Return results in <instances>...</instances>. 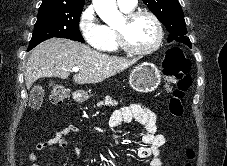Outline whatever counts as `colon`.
<instances>
[{
    "mask_svg": "<svg viewBox=\"0 0 227 166\" xmlns=\"http://www.w3.org/2000/svg\"><path fill=\"white\" fill-rule=\"evenodd\" d=\"M164 76L167 84H178L169 100V112L172 116L181 117L183 115L182 101L185 92L192 84V78L189 60L180 48H171L167 51L164 62ZM49 91L50 101L55 105L61 104L68 96L67 88L56 81L50 83ZM186 153L190 159L194 157L193 149H187ZM186 166H190V164H186Z\"/></svg>",
    "mask_w": 227,
    "mask_h": 166,
    "instance_id": "obj_1",
    "label": "colon"
}]
</instances>
